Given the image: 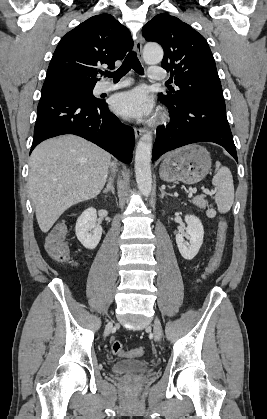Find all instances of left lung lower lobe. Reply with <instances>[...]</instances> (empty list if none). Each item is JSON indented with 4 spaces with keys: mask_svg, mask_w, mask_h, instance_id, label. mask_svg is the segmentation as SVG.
Returning a JSON list of instances; mask_svg holds the SVG:
<instances>
[{
    "mask_svg": "<svg viewBox=\"0 0 267 419\" xmlns=\"http://www.w3.org/2000/svg\"><path fill=\"white\" fill-rule=\"evenodd\" d=\"M168 109L170 123L157 128L152 161L167 151L195 142L217 143L238 161L224 99L202 97Z\"/></svg>",
    "mask_w": 267,
    "mask_h": 419,
    "instance_id": "0a47b994",
    "label": "left lung lower lobe"
}]
</instances>
